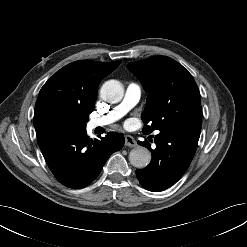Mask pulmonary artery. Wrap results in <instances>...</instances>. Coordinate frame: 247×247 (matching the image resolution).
<instances>
[{"mask_svg":"<svg viewBox=\"0 0 247 247\" xmlns=\"http://www.w3.org/2000/svg\"><path fill=\"white\" fill-rule=\"evenodd\" d=\"M141 88L136 83H130L125 91L123 100L106 115L96 117L88 122L90 130L109 125L123 117L140 100Z\"/></svg>","mask_w":247,"mask_h":247,"instance_id":"e3ab8cb5","label":"pulmonary artery"}]
</instances>
